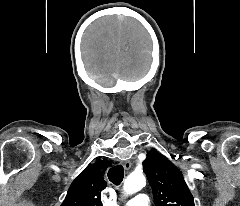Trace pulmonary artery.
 <instances>
[{
    "label": "pulmonary artery",
    "mask_w": 240,
    "mask_h": 206,
    "mask_svg": "<svg viewBox=\"0 0 240 206\" xmlns=\"http://www.w3.org/2000/svg\"><path fill=\"white\" fill-rule=\"evenodd\" d=\"M125 206H149L148 196L144 193H140L127 201Z\"/></svg>",
    "instance_id": "1"
}]
</instances>
